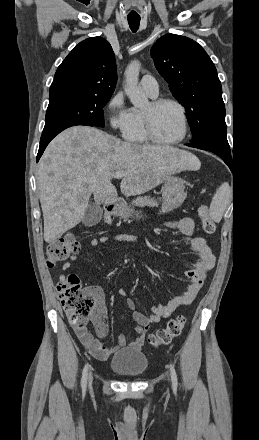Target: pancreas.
<instances>
[{
  "mask_svg": "<svg viewBox=\"0 0 259 440\" xmlns=\"http://www.w3.org/2000/svg\"><path fill=\"white\" fill-rule=\"evenodd\" d=\"M132 205L133 206H139V207H157L159 205V203L155 200L150 198L149 196H144V197H137L136 199H134L132 201ZM132 210V209H130ZM107 223H111V219L108 218L106 219Z\"/></svg>",
  "mask_w": 259,
  "mask_h": 440,
  "instance_id": "obj_1",
  "label": "pancreas"
}]
</instances>
